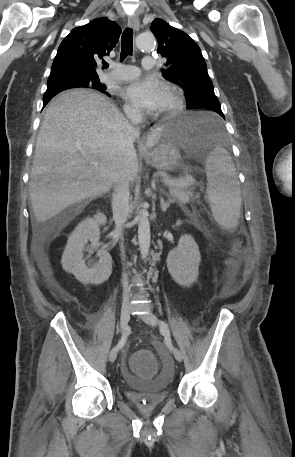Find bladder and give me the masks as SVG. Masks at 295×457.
I'll list each match as a JSON object with an SVG mask.
<instances>
[{"label":"bladder","mask_w":295,"mask_h":457,"mask_svg":"<svg viewBox=\"0 0 295 457\" xmlns=\"http://www.w3.org/2000/svg\"><path fill=\"white\" fill-rule=\"evenodd\" d=\"M165 345H156L154 351L161 361L160 374L157 378H136L132 375L130 360L128 364H121L118 375L124 378V383L129 384L130 388L126 389L124 394L126 399L134 405L135 411H154L155 407L163 405L170 397L167 389L171 375L174 374L172 366V355L166 352ZM159 365V364H158Z\"/></svg>","instance_id":"obj_1"}]
</instances>
